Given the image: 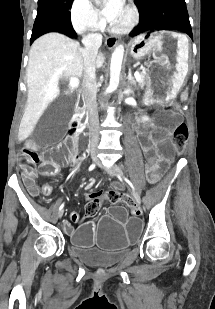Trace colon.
<instances>
[{
	"label": "colon",
	"instance_id": "obj_1",
	"mask_svg": "<svg viewBox=\"0 0 215 309\" xmlns=\"http://www.w3.org/2000/svg\"><path fill=\"white\" fill-rule=\"evenodd\" d=\"M189 133L188 126L186 123L181 122L177 125L175 132L173 134V142L177 150H184L185 144L188 141ZM40 156L36 152L25 151L19 156L20 166L27 172H32L36 168V164L39 161ZM41 171L43 173H48L50 175H55L57 172V163L47 159L43 161L41 166ZM52 192L51 184L47 183L43 186V193L45 195H50ZM103 199H107L112 204L129 203L130 199L126 195L119 192H106L104 194L93 193L90 194L88 201L85 204V214L87 217L92 218L98 214L101 208V203Z\"/></svg>",
	"mask_w": 215,
	"mask_h": 309
}]
</instances>
